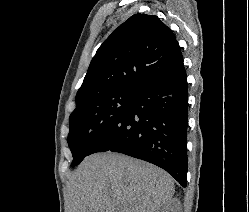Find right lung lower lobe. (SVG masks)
Masks as SVG:
<instances>
[{"label":"right lung lower lobe","instance_id":"right-lung-lower-lobe-1","mask_svg":"<svg viewBox=\"0 0 249 212\" xmlns=\"http://www.w3.org/2000/svg\"><path fill=\"white\" fill-rule=\"evenodd\" d=\"M188 89L183 62L144 85L94 143L96 152H119L153 163L186 187Z\"/></svg>","mask_w":249,"mask_h":212}]
</instances>
